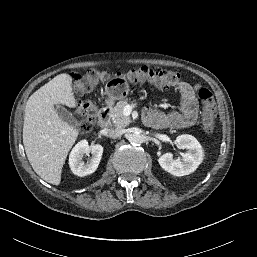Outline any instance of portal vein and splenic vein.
<instances>
[{"label": "portal vein and splenic vein", "instance_id": "1", "mask_svg": "<svg viewBox=\"0 0 257 257\" xmlns=\"http://www.w3.org/2000/svg\"><path fill=\"white\" fill-rule=\"evenodd\" d=\"M132 107L130 105H127L124 110H123V114L125 116H128L131 113Z\"/></svg>", "mask_w": 257, "mask_h": 257}]
</instances>
